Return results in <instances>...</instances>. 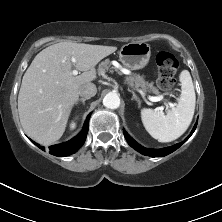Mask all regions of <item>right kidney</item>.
I'll list each match as a JSON object with an SVG mask.
<instances>
[{
    "label": "right kidney",
    "instance_id": "obj_1",
    "mask_svg": "<svg viewBox=\"0 0 222 222\" xmlns=\"http://www.w3.org/2000/svg\"><path fill=\"white\" fill-rule=\"evenodd\" d=\"M76 127V123L75 122H72L71 124H70V128L71 129H74Z\"/></svg>",
    "mask_w": 222,
    "mask_h": 222
}]
</instances>
